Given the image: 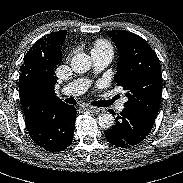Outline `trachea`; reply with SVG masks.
I'll list each match as a JSON object with an SVG mask.
<instances>
[{
  "mask_svg": "<svg viewBox=\"0 0 183 183\" xmlns=\"http://www.w3.org/2000/svg\"><path fill=\"white\" fill-rule=\"evenodd\" d=\"M117 99V97H114L111 100L108 101H99V102H95L93 103V105L98 106V107H108L110 106L115 100ZM67 103L69 104H76V101L74 98L70 97L69 99L66 100Z\"/></svg>",
  "mask_w": 183,
  "mask_h": 183,
  "instance_id": "3493384b",
  "label": "trachea"
}]
</instances>
